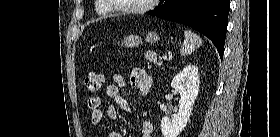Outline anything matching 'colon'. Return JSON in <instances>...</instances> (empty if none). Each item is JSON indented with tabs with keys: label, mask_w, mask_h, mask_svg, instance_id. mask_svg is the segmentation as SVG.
<instances>
[{
	"label": "colon",
	"mask_w": 280,
	"mask_h": 137,
	"mask_svg": "<svg viewBox=\"0 0 280 137\" xmlns=\"http://www.w3.org/2000/svg\"><path fill=\"white\" fill-rule=\"evenodd\" d=\"M102 83L103 76L97 71H91L85 76V86L91 92L98 91Z\"/></svg>",
	"instance_id": "1"
}]
</instances>
